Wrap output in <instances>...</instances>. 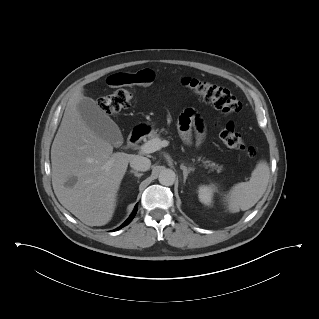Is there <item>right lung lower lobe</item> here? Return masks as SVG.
<instances>
[{"instance_id": "98d812e1", "label": "right lung lower lobe", "mask_w": 319, "mask_h": 319, "mask_svg": "<svg viewBox=\"0 0 319 319\" xmlns=\"http://www.w3.org/2000/svg\"><path fill=\"white\" fill-rule=\"evenodd\" d=\"M137 212V206L135 207L134 211L132 212V214L130 215V217L124 222L123 225H121L120 227H118L115 230H119L121 229L123 226L127 225L128 223H130V221L134 218V216L136 215Z\"/></svg>"}]
</instances>
